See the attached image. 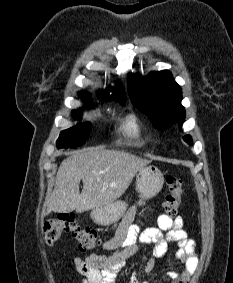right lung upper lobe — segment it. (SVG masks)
<instances>
[{
    "mask_svg": "<svg viewBox=\"0 0 233 283\" xmlns=\"http://www.w3.org/2000/svg\"><path fill=\"white\" fill-rule=\"evenodd\" d=\"M112 91L113 94L109 95V92ZM85 101L87 105H90V101L88 97L85 94L80 93L79 94ZM104 100H108L109 98L115 99L117 101H124V93H123V88L121 87V84L118 83L114 88H111L110 90H107L105 92H102L100 95Z\"/></svg>",
    "mask_w": 233,
    "mask_h": 283,
    "instance_id": "cb5924a9",
    "label": "right lung upper lobe"
}]
</instances>
